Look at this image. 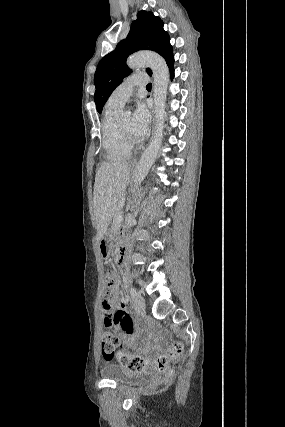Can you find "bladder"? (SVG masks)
<instances>
[{
	"label": "bladder",
	"mask_w": 285,
	"mask_h": 427,
	"mask_svg": "<svg viewBox=\"0 0 285 427\" xmlns=\"http://www.w3.org/2000/svg\"><path fill=\"white\" fill-rule=\"evenodd\" d=\"M100 374L105 379L118 383L144 382L151 378V374L147 371L135 370L128 372L122 366L115 363H109L102 367Z\"/></svg>",
	"instance_id": "1"
}]
</instances>
